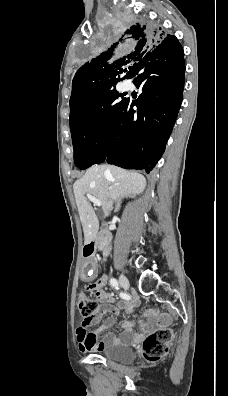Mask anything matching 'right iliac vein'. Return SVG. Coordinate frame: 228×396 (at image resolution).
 I'll list each match as a JSON object with an SVG mask.
<instances>
[{
    "label": "right iliac vein",
    "instance_id": "1",
    "mask_svg": "<svg viewBox=\"0 0 228 396\" xmlns=\"http://www.w3.org/2000/svg\"><path fill=\"white\" fill-rule=\"evenodd\" d=\"M119 282H120L121 286H122L125 290H127V289L129 288V281H128V279H127V277H126L125 275L121 274V275L119 276Z\"/></svg>",
    "mask_w": 228,
    "mask_h": 396
}]
</instances>
